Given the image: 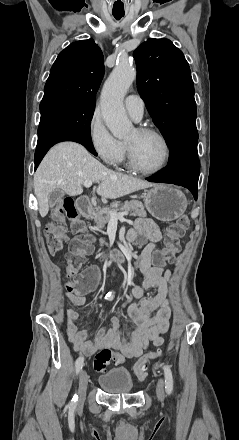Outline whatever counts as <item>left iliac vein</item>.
Here are the masks:
<instances>
[{"label":"left iliac vein","mask_w":239,"mask_h":440,"mask_svg":"<svg viewBox=\"0 0 239 440\" xmlns=\"http://www.w3.org/2000/svg\"><path fill=\"white\" fill-rule=\"evenodd\" d=\"M157 397L159 398V400L163 401L165 394H164V382L163 379H159L158 383H157Z\"/></svg>","instance_id":"left-iliac-vein-1"}]
</instances>
